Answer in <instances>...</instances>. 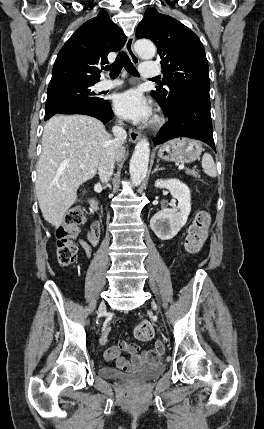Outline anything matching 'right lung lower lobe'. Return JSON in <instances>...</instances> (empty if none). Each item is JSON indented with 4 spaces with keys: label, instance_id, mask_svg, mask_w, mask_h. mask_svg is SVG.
<instances>
[{
    "label": "right lung lower lobe",
    "instance_id": "98d812e1",
    "mask_svg": "<svg viewBox=\"0 0 264 429\" xmlns=\"http://www.w3.org/2000/svg\"><path fill=\"white\" fill-rule=\"evenodd\" d=\"M57 114H84L95 117L103 123H107L113 118V112L107 100H104L101 105L74 104L60 110L55 115Z\"/></svg>",
    "mask_w": 264,
    "mask_h": 429
}]
</instances>
